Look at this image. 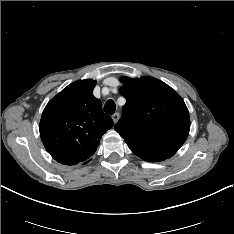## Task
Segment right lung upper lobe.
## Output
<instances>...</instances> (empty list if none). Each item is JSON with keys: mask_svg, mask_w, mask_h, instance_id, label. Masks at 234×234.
<instances>
[{"mask_svg": "<svg viewBox=\"0 0 234 234\" xmlns=\"http://www.w3.org/2000/svg\"><path fill=\"white\" fill-rule=\"evenodd\" d=\"M95 85L91 79L71 83L49 101L42 113V142L59 163H87L102 135L114 125L93 95Z\"/></svg>", "mask_w": 234, "mask_h": 234, "instance_id": "obj_1", "label": "right lung upper lobe"}]
</instances>
